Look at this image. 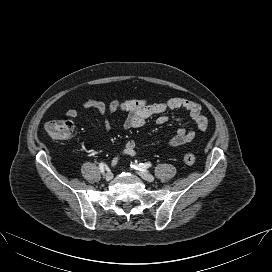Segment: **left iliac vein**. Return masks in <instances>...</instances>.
I'll return each mask as SVG.
<instances>
[{"mask_svg":"<svg viewBox=\"0 0 272 272\" xmlns=\"http://www.w3.org/2000/svg\"><path fill=\"white\" fill-rule=\"evenodd\" d=\"M139 176L141 178H143L144 180L148 181V182H153L155 180L154 176L146 173V172H138Z\"/></svg>","mask_w":272,"mask_h":272,"instance_id":"4c4485c4","label":"left iliac vein"}]
</instances>
